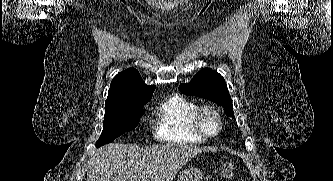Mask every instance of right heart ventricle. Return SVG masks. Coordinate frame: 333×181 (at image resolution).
<instances>
[{
	"instance_id": "1",
	"label": "right heart ventricle",
	"mask_w": 333,
	"mask_h": 181,
	"mask_svg": "<svg viewBox=\"0 0 333 181\" xmlns=\"http://www.w3.org/2000/svg\"><path fill=\"white\" fill-rule=\"evenodd\" d=\"M199 106L180 96L165 99L156 109L154 135L157 140L172 144H198L204 138L192 126V117Z\"/></svg>"
}]
</instances>
